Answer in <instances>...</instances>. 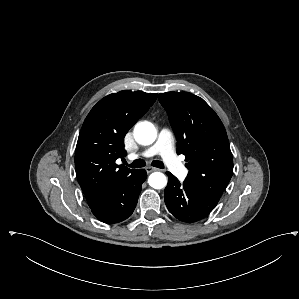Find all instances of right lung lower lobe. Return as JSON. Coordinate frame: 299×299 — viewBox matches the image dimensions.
Instances as JSON below:
<instances>
[{
  "label": "right lung lower lobe",
  "mask_w": 299,
  "mask_h": 299,
  "mask_svg": "<svg viewBox=\"0 0 299 299\" xmlns=\"http://www.w3.org/2000/svg\"><path fill=\"white\" fill-rule=\"evenodd\" d=\"M147 177L144 169H135L123 177L94 206L92 213L102 222L114 224L127 219L134 211Z\"/></svg>",
  "instance_id": "1"
}]
</instances>
